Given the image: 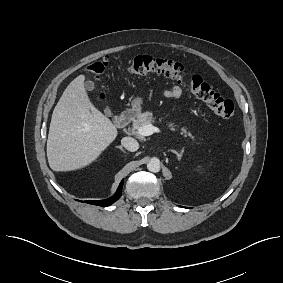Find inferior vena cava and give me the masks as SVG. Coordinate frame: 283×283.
<instances>
[{"instance_id":"602c4592","label":"inferior vena cava","mask_w":283,"mask_h":283,"mask_svg":"<svg viewBox=\"0 0 283 283\" xmlns=\"http://www.w3.org/2000/svg\"><path fill=\"white\" fill-rule=\"evenodd\" d=\"M122 146L128 151L134 152L139 149V143L132 137H124L121 140Z\"/></svg>"}]
</instances>
